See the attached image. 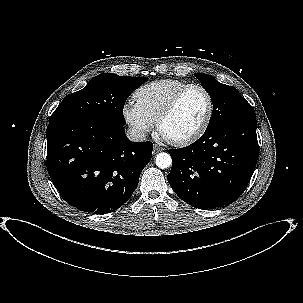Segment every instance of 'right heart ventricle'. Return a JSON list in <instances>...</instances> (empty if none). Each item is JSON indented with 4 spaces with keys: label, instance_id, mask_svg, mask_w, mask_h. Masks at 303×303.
Here are the masks:
<instances>
[{
    "label": "right heart ventricle",
    "instance_id": "obj_1",
    "mask_svg": "<svg viewBox=\"0 0 303 303\" xmlns=\"http://www.w3.org/2000/svg\"><path fill=\"white\" fill-rule=\"evenodd\" d=\"M187 85V82L174 79L154 81L139 88L134 98L140 109L156 122L173 96Z\"/></svg>",
    "mask_w": 303,
    "mask_h": 303
}]
</instances>
